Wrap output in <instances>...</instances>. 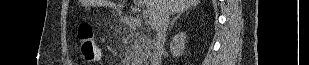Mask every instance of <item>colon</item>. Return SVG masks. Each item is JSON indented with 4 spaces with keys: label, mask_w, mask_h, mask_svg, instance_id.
<instances>
[{
    "label": "colon",
    "mask_w": 309,
    "mask_h": 65,
    "mask_svg": "<svg viewBox=\"0 0 309 65\" xmlns=\"http://www.w3.org/2000/svg\"><path fill=\"white\" fill-rule=\"evenodd\" d=\"M78 40L84 61L94 62L99 59L100 51L96 44L93 30L88 24H81L79 26Z\"/></svg>",
    "instance_id": "obj_1"
}]
</instances>
